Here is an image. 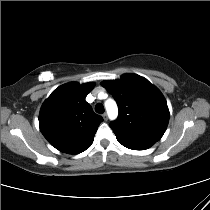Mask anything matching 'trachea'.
I'll return each instance as SVG.
<instances>
[{
	"instance_id": "3493384b",
	"label": "trachea",
	"mask_w": 210,
	"mask_h": 210,
	"mask_svg": "<svg viewBox=\"0 0 210 210\" xmlns=\"http://www.w3.org/2000/svg\"><path fill=\"white\" fill-rule=\"evenodd\" d=\"M95 111L99 114L104 113V106L101 103L96 104Z\"/></svg>"
}]
</instances>
